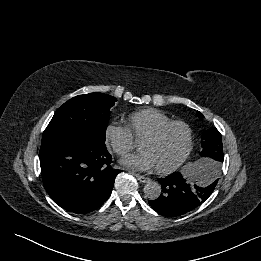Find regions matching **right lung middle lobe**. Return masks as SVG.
<instances>
[{
  "instance_id": "right-lung-middle-lobe-1",
  "label": "right lung middle lobe",
  "mask_w": 261,
  "mask_h": 261,
  "mask_svg": "<svg viewBox=\"0 0 261 261\" xmlns=\"http://www.w3.org/2000/svg\"><path fill=\"white\" fill-rule=\"evenodd\" d=\"M116 101L103 93L73 97L55 112L43 133L42 143L73 136H88L105 142L110 108Z\"/></svg>"
}]
</instances>
